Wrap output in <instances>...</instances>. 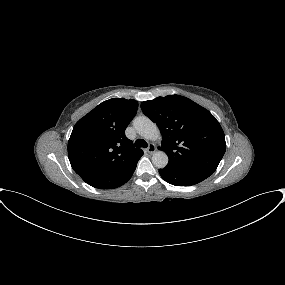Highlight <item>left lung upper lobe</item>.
<instances>
[{"label": "left lung upper lobe", "mask_w": 285, "mask_h": 285, "mask_svg": "<svg viewBox=\"0 0 285 285\" xmlns=\"http://www.w3.org/2000/svg\"><path fill=\"white\" fill-rule=\"evenodd\" d=\"M143 113L156 123L163 137L166 167L213 174L225 150V135L205 108L180 95L141 103Z\"/></svg>", "instance_id": "5c2ea615"}]
</instances>
